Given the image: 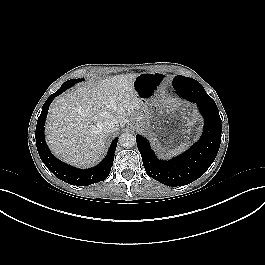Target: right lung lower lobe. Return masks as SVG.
<instances>
[{
  "instance_id": "1",
  "label": "right lung lower lobe",
  "mask_w": 265,
  "mask_h": 265,
  "mask_svg": "<svg viewBox=\"0 0 265 265\" xmlns=\"http://www.w3.org/2000/svg\"><path fill=\"white\" fill-rule=\"evenodd\" d=\"M62 92L64 91L58 90L56 93L49 96V98L44 103L41 114L38 118L36 131H35V138H36V146H37L39 156L42 162L46 165V167L58 179H61L62 181L68 184L77 185V186H88L93 183L103 181L108 177L111 171L118 138H115L112 141L110 145V149L108 150L106 157L102 160V162L99 165H97L96 167H93L90 169H84V170L74 168L72 166H69L59 161L57 158H55L51 154L45 142L44 125H45L49 106L51 102L53 101V99L57 95L61 94Z\"/></svg>"
}]
</instances>
